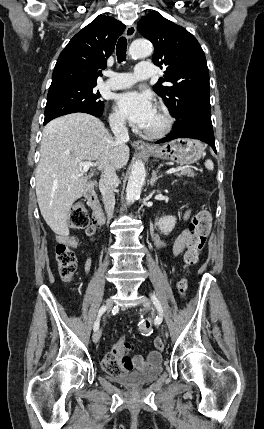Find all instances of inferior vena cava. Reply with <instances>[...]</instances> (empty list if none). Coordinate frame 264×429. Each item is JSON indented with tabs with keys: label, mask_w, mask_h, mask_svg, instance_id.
<instances>
[{
	"label": "inferior vena cava",
	"mask_w": 264,
	"mask_h": 429,
	"mask_svg": "<svg viewBox=\"0 0 264 429\" xmlns=\"http://www.w3.org/2000/svg\"><path fill=\"white\" fill-rule=\"evenodd\" d=\"M110 126L114 133L116 142L125 143L129 140L128 130L124 118H114L111 120ZM101 170L102 174L99 180V189L102 194L105 211L109 217L107 223L111 224L113 220L111 217L115 207L114 190L118 182V177L116 175V168L112 164H107Z\"/></svg>",
	"instance_id": "1"
}]
</instances>
